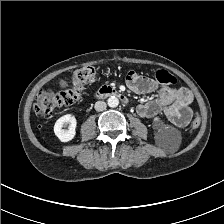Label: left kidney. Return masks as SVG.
<instances>
[{
  "mask_svg": "<svg viewBox=\"0 0 224 224\" xmlns=\"http://www.w3.org/2000/svg\"><path fill=\"white\" fill-rule=\"evenodd\" d=\"M160 119L158 117L154 118L155 122H158Z\"/></svg>",
  "mask_w": 224,
  "mask_h": 224,
  "instance_id": "obj_1",
  "label": "left kidney"
}]
</instances>
